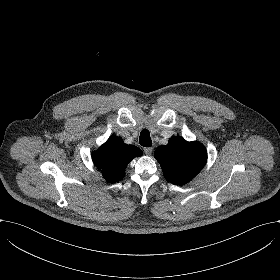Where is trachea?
I'll use <instances>...</instances> for the list:
<instances>
[{"label": "trachea", "mask_w": 280, "mask_h": 280, "mask_svg": "<svg viewBox=\"0 0 280 280\" xmlns=\"http://www.w3.org/2000/svg\"><path fill=\"white\" fill-rule=\"evenodd\" d=\"M139 143L144 147H151L152 141L150 138V133L147 129H144L140 133Z\"/></svg>", "instance_id": "trachea-1"}]
</instances>
